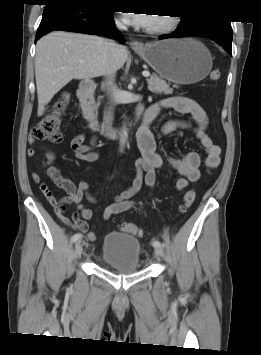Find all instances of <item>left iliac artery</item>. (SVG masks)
Returning a JSON list of instances; mask_svg holds the SVG:
<instances>
[{
    "instance_id": "1",
    "label": "left iliac artery",
    "mask_w": 261,
    "mask_h": 355,
    "mask_svg": "<svg viewBox=\"0 0 261 355\" xmlns=\"http://www.w3.org/2000/svg\"><path fill=\"white\" fill-rule=\"evenodd\" d=\"M152 245H153L154 247H161V246H163V244H162L161 242H159L158 240L152 241Z\"/></svg>"
}]
</instances>
